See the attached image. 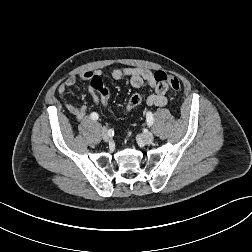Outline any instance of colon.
Wrapping results in <instances>:
<instances>
[{
	"instance_id": "1",
	"label": "colon",
	"mask_w": 252,
	"mask_h": 252,
	"mask_svg": "<svg viewBox=\"0 0 252 252\" xmlns=\"http://www.w3.org/2000/svg\"><path fill=\"white\" fill-rule=\"evenodd\" d=\"M157 82L165 83L172 90L178 91L181 87L180 81L172 75L165 72L158 71L154 74ZM91 86L99 97L100 104L104 107L111 109L112 103L108 89L104 86L99 76H93L91 78ZM142 95L140 93L132 94L129 99L121 106V110L124 112H130L137 108L142 102Z\"/></svg>"
}]
</instances>
